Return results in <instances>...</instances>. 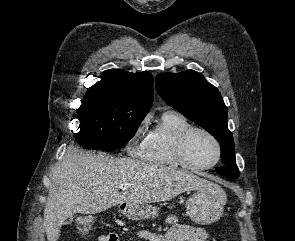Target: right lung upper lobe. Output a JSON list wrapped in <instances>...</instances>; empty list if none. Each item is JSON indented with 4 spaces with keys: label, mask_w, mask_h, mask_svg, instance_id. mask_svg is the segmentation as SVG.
I'll list each match as a JSON object with an SVG mask.
<instances>
[{
    "label": "right lung upper lobe",
    "mask_w": 295,
    "mask_h": 241,
    "mask_svg": "<svg viewBox=\"0 0 295 241\" xmlns=\"http://www.w3.org/2000/svg\"><path fill=\"white\" fill-rule=\"evenodd\" d=\"M153 77L150 72L129 73L120 69L106 70L101 80L88 89L90 93H103L149 111L153 100Z\"/></svg>",
    "instance_id": "cb5924a9"
}]
</instances>
